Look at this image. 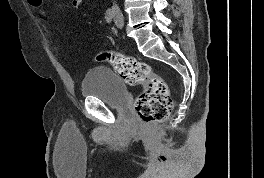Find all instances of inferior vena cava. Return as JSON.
I'll list each match as a JSON object with an SVG mask.
<instances>
[{
    "mask_svg": "<svg viewBox=\"0 0 264 178\" xmlns=\"http://www.w3.org/2000/svg\"><path fill=\"white\" fill-rule=\"evenodd\" d=\"M114 12L119 13V7L114 3Z\"/></svg>",
    "mask_w": 264,
    "mask_h": 178,
    "instance_id": "1",
    "label": "inferior vena cava"
}]
</instances>
